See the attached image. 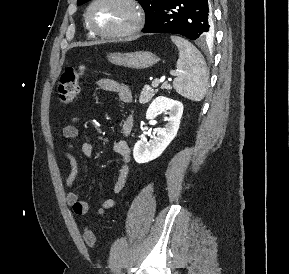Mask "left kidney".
<instances>
[{"label": "left kidney", "mask_w": 289, "mask_h": 274, "mask_svg": "<svg viewBox=\"0 0 289 274\" xmlns=\"http://www.w3.org/2000/svg\"><path fill=\"white\" fill-rule=\"evenodd\" d=\"M167 110L168 117L163 128L157 130V136L149 142L139 140L134 146L133 157L139 164L147 163L159 157L177 134L183 114V104L167 97H157L146 112V119H155L161 111Z\"/></svg>", "instance_id": "left-kidney-1"}]
</instances>
